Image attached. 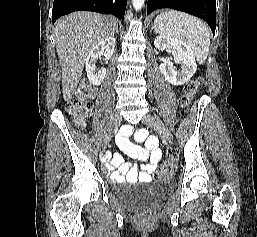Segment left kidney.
Here are the masks:
<instances>
[{
  "instance_id": "1",
  "label": "left kidney",
  "mask_w": 257,
  "mask_h": 237,
  "mask_svg": "<svg viewBox=\"0 0 257 237\" xmlns=\"http://www.w3.org/2000/svg\"><path fill=\"white\" fill-rule=\"evenodd\" d=\"M154 45L160 51H171L174 61L181 65V69L177 70L170 60L160 64L159 69L166 81L176 86L183 85L189 81L197 69L191 48L181 40L161 35L155 38Z\"/></svg>"
}]
</instances>
